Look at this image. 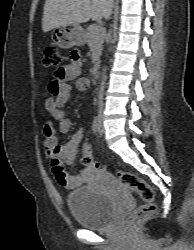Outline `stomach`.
<instances>
[{
    "label": "stomach",
    "mask_w": 194,
    "mask_h": 250,
    "mask_svg": "<svg viewBox=\"0 0 194 250\" xmlns=\"http://www.w3.org/2000/svg\"><path fill=\"white\" fill-rule=\"evenodd\" d=\"M55 44L63 49L81 46L85 42L84 29L79 25H67L56 28L54 31Z\"/></svg>",
    "instance_id": "stomach-1"
}]
</instances>
